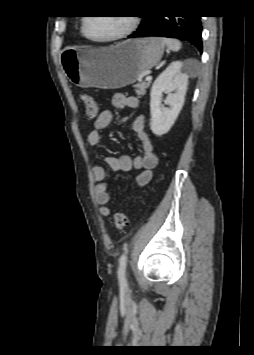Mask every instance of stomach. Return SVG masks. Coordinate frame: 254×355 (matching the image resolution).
Here are the masks:
<instances>
[{
  "mask_svg": "<svg viewBox=\"0 0 254 355\" xmlns=\"http://www.w3.org/2000/svg\"><path fill=\"white\" fill-rule=\"evenodd\" d=\"M165 44L157 37L126 40L106 48L66 47L62 69L80 87L117 89L136 82L162 58Z\"/></svg>",
  "mask_w": 254,
  "mask_h": 355,
  "instance_id": "0dacf381",
  "label": "stomach"
}]
</instances>
